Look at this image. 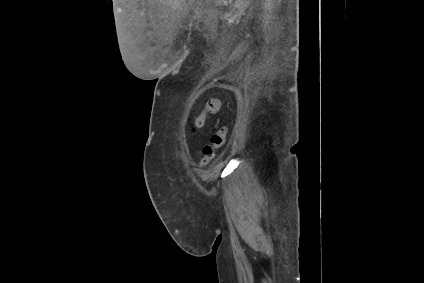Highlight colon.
<instances>
[{
    "instance_id": "obj_1",
    "label": "colon",
    "mask_w": 424,
    "mask_h": 283,
    "mask_svg": "<svg viewBox=\"0 0 424 283\" xmlns=\"http://www.w3.org/2000/svg\"><path fill=\"white\" fill-rule=\"evenodd\" d=\"M220 110V101L218 99H210L207 101L201 114L195 117L193 126L194 128H201L204 126L205 121L210 116L216 115ZM226 140V129L219 128L216 130L210 139V143L203 147V157L199 162V167L206 166L215 156L216 151L222 147Z\"/></svg>"
}]
</instances>
